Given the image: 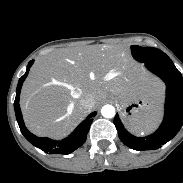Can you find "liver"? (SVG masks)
<instances>
[{
	"label": "liver",
	"mask_w": 183,
	"mask_h": 183,
	"mask_svg": "<svg viewBox=\"0 0 183 183\" xmlns=\"http://www.w3.org/2000/svg\"><path fill=\"white\" fill-rule=\"evenodd\" d=\"M108 92L127 99L146 97L160 105L163 85L141 72L123 47L65 48L33 65L22 87L20 106L32 133L60 138ZM85 93L94 97L91 108L80 104Z\"/></svg>",
	"instance_id": "liver-1"
}]
</instances>
